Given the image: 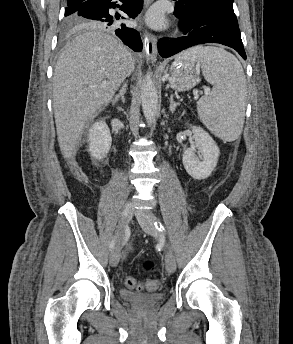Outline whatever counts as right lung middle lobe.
<instances>
[{
	"label": "right lung middle lobe",
	"mask_w": 293,
	"mask_h": 344,
	"mask_svg": "<svg viewBox=\"0 0 293 344\" xmlns=\"http://www.w3.org/2000/svg\"><path fill=\"white\" fill-rule=\"evenodd\" d=\"M78 8L79 4L68 5L65 8L64 33H71L81 28L97 27L96 23L79 16Z\"/></svg>",
	"instance_id": "right-lung-middle-lobe-1"
}]
</instances>
